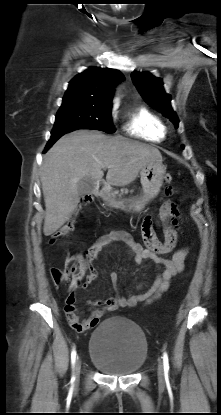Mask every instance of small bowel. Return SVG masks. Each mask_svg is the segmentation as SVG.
<instances>
[{
    "instance_id": "small-bowel-1",
    "label": "small bowel",
    "mask_w": 221,
    "mask_h": 415,
    "mask_svg": "<svg viewBox=\"0 0 221 415\" xmlns=\"http://www.w3.org/2000/svg\"><path fill=\"white\" fill-rule=\"evenodd\" d=\"M166 196L171 197L174 194L173 189L168 188L165 191ZM173 216L170 221L173 224L178 223V211L176 205L172 202L165 203ZM163 221V220H162ZM141 232L145 247L136 243L132 237L126 232H112L102 235L97 241L88 248L86 255L88 261L97 258L98 255L112 243L120 242L127 248L128 254L134 258L137 265L144 262H150L156 268V276L151 287L142 294L129 293L126 296L117 295L104 300L90 301L89 304L94 307L89 317L81 319L75 308L76 295L75 292L79 288H86V284L70 288V293L65 299V314L70 326L78 331L83 332L87 329L95 327L100 318L107 312H113L123 307H134L138 303L151 304L156 299L160 298L170 287L171 279L182 272L185 266V261L188 256V248L177 249L173 256L169 259L162 257L163 254L172 252L177 245L178 235L176 230L166 225L164 227V239L160 241L154 231L152 217L147 215L141 224ZM97 278V273L91 271L88 276V282ZM111 281L115 287L118 288V273L112 271L110 274ZM143 283H140L136 288H141Z\"/></svg>"
}]
</instances>
